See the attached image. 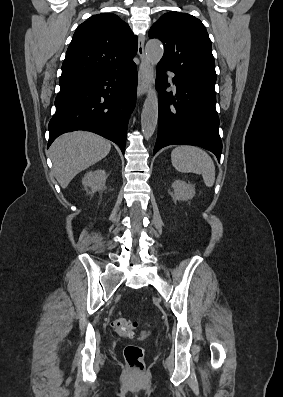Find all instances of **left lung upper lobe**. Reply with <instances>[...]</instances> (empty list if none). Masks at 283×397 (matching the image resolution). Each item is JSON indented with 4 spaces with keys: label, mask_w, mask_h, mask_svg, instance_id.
<instances>
[{
    "label": "left lung upper lobe",
    "mask_w": 283,
    "mask_h": 397,
    "mask_svg": "<svg viewBox=\"0 0 283 397\" xmlns=\"http://www.w3.org/2000/svg\"><path fill=\"white\" fill-rule=\"evenodd\" d=\"M149 38H158L164 44L160 65L176 77L215 93L211 40L199 19L187 13H165L150 28Z\"/></svg>",
    "instance_id": "5c2ea615"
}]
</instances>
